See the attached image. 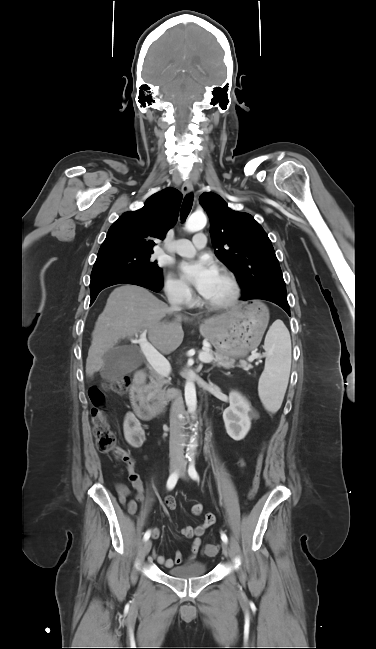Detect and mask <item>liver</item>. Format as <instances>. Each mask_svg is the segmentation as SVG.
<instances>
[{"label": "liver", "instance_id": "liver-1", "mask_svg": "<svg viewBox=\"0 0 376 649\" xmlns=\"http://www.w3.org/2000/svg\"><path fill=\"white\" fill-rule=\"evenodd\" d=\"M172 314L175 315L174 321H161L166 315ZM181 320V314H176L175 310L147 289L135 285L117 287L109 295L104 311L98 317L92 332V342L86 359V375L90 377L103 367L104 354L113 348L120 338H131L145 330L157 350L170 354L183 341Z\"/></svg>", "mask_w": 376, "mask_h": 649}]
</instances>
